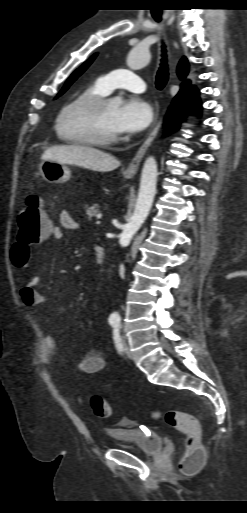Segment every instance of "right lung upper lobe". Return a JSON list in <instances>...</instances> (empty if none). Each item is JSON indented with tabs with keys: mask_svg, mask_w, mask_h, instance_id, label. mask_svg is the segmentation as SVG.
<instances>
[{
	"mask_svg": "<svg viewBox=\"0 0 247 513\" xmlns=\"http://www.w3.org/2000/svg\"><path fill=\"white\" fill-rule=\"evenodd\" d=\"M188 68H189L188 61L185 57H183L180 60L178 67H177V74L180 77V79H182V80L185 79L186 75L188 74ZM188 82H189L188 80L184 81V83L182 84L181 90L191 88V87H189Z\"/></svg>",
	"mask_w": 247,
	"mask_h": 513,
	"instance_id": "1",
	"label": "right lung upper lobe"
}]
</instances>
